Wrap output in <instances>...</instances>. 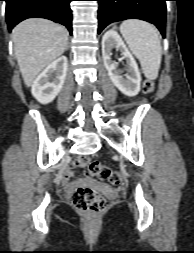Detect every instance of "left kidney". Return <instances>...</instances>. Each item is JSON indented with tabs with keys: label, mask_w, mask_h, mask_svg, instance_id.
Listing matches in <instances>:
<instances>
[{
	"label": "left kidney",
	"mask_w": 194,
	"mask_h": 253,
	"mask_svg": "<svg viewBox=\"0 0 194 253\" xmlns=\"http://www.w3.org/2000/svg\"><path fill=\"white\" fill-rule=\"evenodd\" d=\"M113 48L121 51L122 59H126L125 78L122 76V71L117 70V65L111 60ZM102 56L104 66L113 84L127 96L137 95L140 91L141 75L135 59L116 31L109 30L102 37Z\"/></svg>",
	"instance_id": "left-kidney-1"
}]
</instances>
